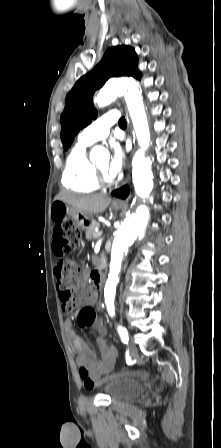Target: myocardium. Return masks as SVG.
<instances>
[{
	"label": "myocardium",
	"mask_w": 221,
	"mask_h": 448,
	"mask_svg": "<svg viewBox=\"0 0 221 448\" xmlns=\"http://www.w3.org/2000/svg\"><path fill=\"white\" fill-rule=\"evenodd\" d=\"M94 168L96 172V179L99 184L110 185L113 183V180L110 177H108L105 173H103L97 166H94Z\"/></svg>",
	"instance_id": "1"
}]
</instances>
